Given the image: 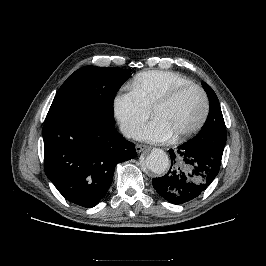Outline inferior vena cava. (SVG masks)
Returning <instances> with one entry per match:
<instances>
[{
  "label": "inferior vena cava",
  "mask_w": 266,
  "mask_h": 266,
  "mask_svg": "<svg viewBox=\"0 0 266 266\" xmlns=\"http://www.w3.org/2000/svg\"><path fill=\"white\" fill-rule=\"evenodd\" d=\"M120 130L125 137L131 138L134 134V130L129 125L122 124Z\"/></svg>",
  "instance_id": "602c4592"
}]
</instances>
